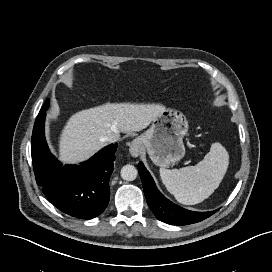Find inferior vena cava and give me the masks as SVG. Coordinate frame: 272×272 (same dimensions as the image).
<instances>
[{"instance_id":"inferior-vena-cava-1","label":"inferior vena cava","mask_w":272,"mask_h":272,"mask_svg":"<svg viewBox=\"0 0 272 272\" xmlns=\"http://www.w3.org/2000/svg\"><path fill=\"white\" fill-rule=\"evenodd\" d=\"M119 138H120L119 132L115 131V132H112V133L108 134V135L104 138V140H105L106 142H109V143H114V142L118 141Z\"/></svg>"}]
</instances>
